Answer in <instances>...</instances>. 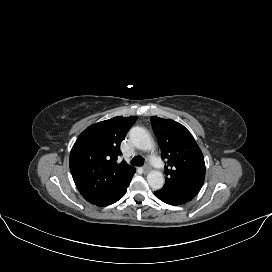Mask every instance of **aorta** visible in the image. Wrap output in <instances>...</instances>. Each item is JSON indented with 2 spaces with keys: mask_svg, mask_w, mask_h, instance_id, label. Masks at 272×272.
Segmentation results:
<instances>
[{
  "mask_svg": "<svg viewBox=\"0 0 272 272\" xmlns=\"http://www.w3.org/2000/svg\"><path fill=\"white\" fill-rule=\"evenodd\" d=\"M129 138L132 144L141 150H150L154 143L151 135L142 127H133L129 131ZM147 182L152 189H161L164 185L165 179L162 172L152 170L147 175Z\"/></svg>",
  "mask_w": 272,
  "mask_h": 272,
  "instance_id": "aorta-1",
  "label": "aorta"
}]
</instances>
